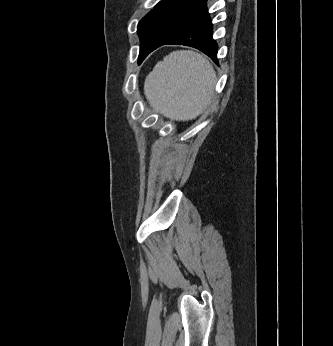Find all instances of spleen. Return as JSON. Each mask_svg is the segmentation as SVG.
I'll list each match as a JSON object with an SVG mask.
<instances>
[{
	"instance_id": "3e777b00",
	"label": "spleen",
	"mask_w": 333,
	"mask_h": 346,
	"mask_svg": "<svg viewBox=\"0 0 333 346\" xmlns=\"http://www.w3.org/2000/svg\"><path fill=\"white\" fill-rule=\"evenodd\" d=\"M215 83L216 73L207 58L193 51H174L147 75L144 94L155 111L187 121L210 103Z\"/></svg>"
}]
</instances>
